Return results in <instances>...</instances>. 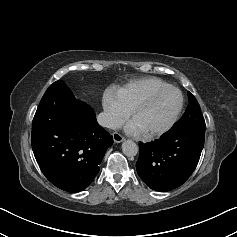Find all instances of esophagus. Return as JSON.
<instances>
[{
	"mask_svg": "<svg viewBox=\"0 0 237 237\" xmlns=\"http://www.w3.org/2000/svg\"><path fill=\"white\" fill-rule=\"evenodd\" d=\"M124 139L125 138L121 134H119L118 132L113 133V140H114L115 143H120V142L124 141Z\"/></svg>",
	"mask_w": 237,
	"mask_h": 237,
	"instance_id": "1",
	"label": "esophagus"
}]
</instances>
